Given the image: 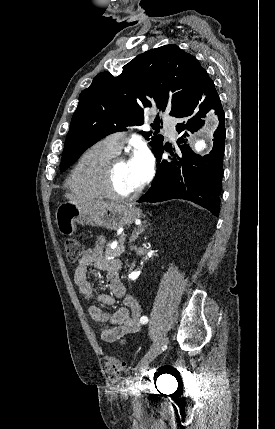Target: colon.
I'll use <instances>...</instances> for the list:
<instances>
[{"mask_svg":"<svg viewBox=\"0 0 275 429\" xmlns=\"http://www.w3.org/2000/svg\"><path fill=\"white\" fill-rule=\"evenodd\" d=\"M66 258L70 262L76 261L82 251L83 245L80 240L76 238H67L64 242ZM125 368V364L115 358H107L104 362V372L108 379L112 382L117 381Z\"/></svg>","mask_w":275,"mask_h":429,"instance_id":"obj_1","label":"colon"}]
</instances>
